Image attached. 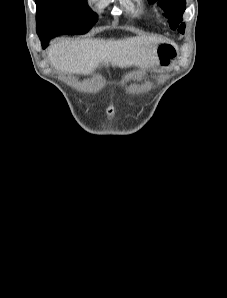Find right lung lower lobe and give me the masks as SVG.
<instances>
[{"instance_id": "98d812e1", "label": "right lung lower lobe", "mask_w": 227, "mask_h": 298, "mask_svg": "<svg viewBox=\"0 0 227 298\" xmlns=\"http://www.w3.org/2000/svg\"><path fill=\"white\" fill-rule=\"evenodd\" d=\"M54 36H56V33L55 32L53 33L52 31H49V32H47L45 34H42V35H39L42 47L43 48L47 47V45L49 44V40L51 38H53Z\"/></svg>"}]
</instances>
